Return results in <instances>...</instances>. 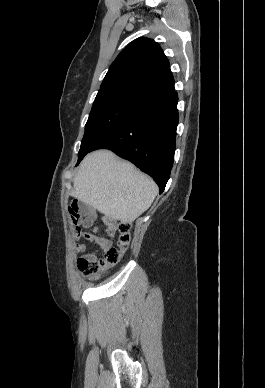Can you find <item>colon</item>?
<instances>
[{
	"instance_id": "5ec220e1",
	"label": "colon",
	"mask_w": 265,
	"mask_h": 388,
	"mask_svg": "<svg viewBox=\"0 0 265 388\" xmlns=\"http://www.w3.org/2000/svg\"><path fill=\"white\" fill-rule=\"evenodd\" d=\"M68 212L72 221L77 224L80 218V206L77 201H71ZM119 237L117 246L110 247L103 258L90 260L79 258L77 265L81 273L89 279L96 280L113 268L122 258L130 242V224L121 222L118 226ZM79 236L85 237L86 233L79 232Z\"/></svg>"
}]
</instances>
